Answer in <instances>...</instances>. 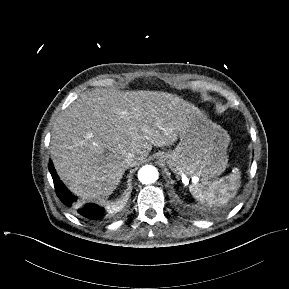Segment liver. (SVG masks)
Returning a JSON list of instances; mask_svg holds the SVG:
<instances>
[{"instance_id":"6515ba94","label":"liver","mask_w":289,"mask_h":289,"mask_svg":"<svg viewBox=\"0 0 289 289\" xmlns=\"http://www.w3.org/2000/svg\"><path fill=\"white\" fill-rule=\"evenodd\" d=\"M196 109L167 92L105 88L84 92L53 127L54 167L74 194L102 202L122 179L127 153L140 162L153 146L172 145Z\"/></svg>"}]
</instances>
